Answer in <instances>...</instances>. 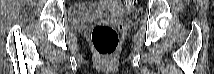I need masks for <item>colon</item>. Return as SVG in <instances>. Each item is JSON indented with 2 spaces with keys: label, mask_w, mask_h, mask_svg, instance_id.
Returning <instances> with one entry per match:
<instances>
[{
  "label": "colon",
  "mask_w": 214,
  "mask_h": 74,
  "mask_svg": "<svg viewBox=\"0 0 214 74\" xmlns=\"http://www.w3.org/2000/svg\"><path fill=\"white\" fill-rule=\"evenodd\" d=\"M136 0H125L124 4L127 9H132L136 5ZM97 4L99 2H96ZM118 32L115 27L98 24L92 30V43L98 54L101 56L112 55L118 45Z\"/></svg>",
  "instance_id": "obj_1"
}]
</instances>
